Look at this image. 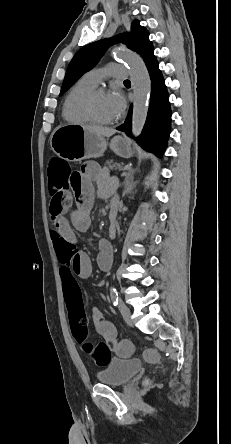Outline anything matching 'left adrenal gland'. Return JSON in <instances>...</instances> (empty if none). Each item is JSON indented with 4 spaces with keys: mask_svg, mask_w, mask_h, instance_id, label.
I'll list each match as a JSON object with an SVG mask.
<instances>
[{
    "mask_svg": "<svg viewBox=\"0 0 231 444\" xmlns=\"http://www.w3.org/2000/svg\"><path fill=\"white\" fill-rule=\"evenodd\" d=\"M127 192L130 193L131 190L135 187V182H133V177L131 176V180L127 182Z\"/></svg>",
    "mask_w": 231,
    "mask_h": 444,
    "instance_id": "1",
    "label": "left adrenal gland"
}]
</instances>
